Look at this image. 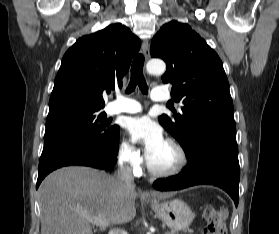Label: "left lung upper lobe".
I'll return each mask as SVG.
<instances>
[{
	"label": "left lung upper lobe",
	"instance_id": "obj_1",
	"mask_svg": "<svg viewBox=\"0 0 279 234\" xmlns=\"http://www.w3.org/2000/svg\"><path fill=\"white\" fill-rule=\"evenodd\" d=\"M151 56L163 59V83L181 101V112L161 115L159 123L182 146L186 156L195 139L213 128L235 129L234 107L223 64L216 52L188 24L171 21L151 42Z\"/></svg>",
	"mask_w": 279,
	"mask_h": 234
}]
</instances>
